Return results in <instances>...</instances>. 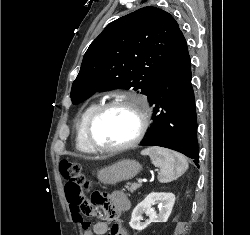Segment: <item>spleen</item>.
<instances>
[{
    "label": "spleen",
    "instance_id": "spleen-1",
    "mask_svg": "<svg viewBox=\"0 0 250 235\" xmlns=\"http://www.w3.org/2000/svg\"><path fill=\"white\" fill-rule=\"evenodd\" d=\"M141 154L148 155L153 165L160 168L158 180L161 183L177 179L188 169V162L183 155L166 148L149 147Z\"/></svg>",
    "mask_w": 250,
    "mask_h": 235
}]
</instances>
